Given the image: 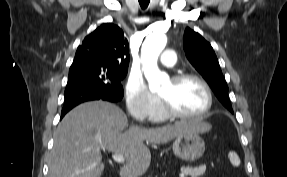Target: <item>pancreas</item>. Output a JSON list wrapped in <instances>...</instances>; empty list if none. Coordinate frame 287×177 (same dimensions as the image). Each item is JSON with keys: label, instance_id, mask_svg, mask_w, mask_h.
I'll list each match as a JSON object with an SVG mask.
<instances>
[{"label": "pancreas", "instance_id": "pancreas-1", "mask_svg": "<svg viewBox=\"0 0 287 177\" xmlns=\"http://www.w3.org/2000/svg\"><path fill=\"white\" fill-rule=\"evenodd\" d=\"M206 166L199 167H181V172L191 177H200L205 173Z\"/></svg>", "mask_w": 287, "mask_h": 177}]
</instances>
